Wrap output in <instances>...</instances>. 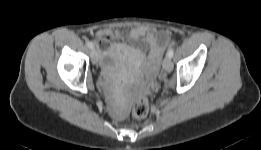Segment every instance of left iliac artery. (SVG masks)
<instances>
[{
  "label": "left iliac artery",
  "mask_w": 261,
  "mask_h": 150,
  "mask_svg": "<svg viewBox=\"0 0 261 150\" xmlns=\"http://www.w3.org/2000/svg\"><path fill=\"white\" fill-rule=\"evenodd\" d=\"M173 54H174V50H173L172 48L169 49L168 52H167V56H168L169 58H172V57H173Z\"/></svg>",
  "instance_id": "44dca946"
}]
</instances>
